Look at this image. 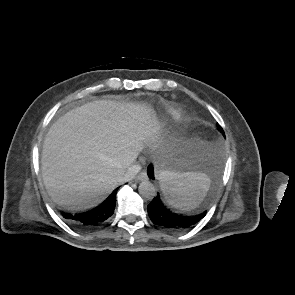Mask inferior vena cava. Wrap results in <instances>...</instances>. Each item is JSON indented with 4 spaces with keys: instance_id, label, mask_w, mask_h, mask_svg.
<instances>
[{
    "instance_id": "1",
    "label": "inferior vena cava",
    "mask_w": 295,
    "mask_h": 295,
    "mask_svg": "<svg viewBox=\"0 0 295 295\" xmlns=\"http://www.w3.org/2000/svg\"><path fill=\"white\" fill-rule=\"evenodd\" d=\"M140 170H141V166L139 164L131 165L127 169V171L125 172L124 176L122 177V181H130V180H132Z\"/></svg>"
}]
</instances>
